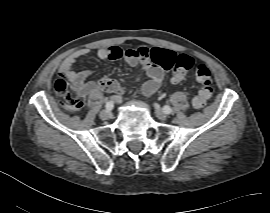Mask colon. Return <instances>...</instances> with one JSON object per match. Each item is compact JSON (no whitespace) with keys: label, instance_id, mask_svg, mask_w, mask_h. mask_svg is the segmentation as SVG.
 Wrapping results in <instances>:
<instances>
[{"label":"colon","instance_id":"1","mask_svg":"<svg viewBox=\"0 0 270 213\" xmlns=\"http://www.w3.org/2000/svg\"><path fill=\"white\" fill-rule=\"evenodd\" d=\"M137 56L142 59L151 60L164 70L171 71V79L178 83L184 80L188 71L193 68L197 81L201 88L192 100L195 109H202L213 93L212 76L209 68L205 64H194L193 58L185 54L173 55L171 52L154 50L150 51L145 47L125 48L122 47L113 53V57ZM54 90L60 96V103L69 110H80L84 102L71 94L61 80H57L53 85Z\"/></svg>","mask_w":270,"mask_h":213}]
</instances>
